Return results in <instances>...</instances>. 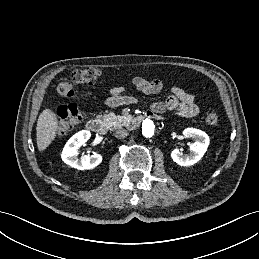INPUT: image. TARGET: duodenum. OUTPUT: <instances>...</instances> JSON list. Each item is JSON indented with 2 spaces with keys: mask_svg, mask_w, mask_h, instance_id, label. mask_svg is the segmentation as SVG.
Segmentation results:
<instances>
[{
  "mask_svg": "<svg viewBox=\"0 0 259 259\" xmlns=\"http://www.w3.org/2000/svg\"><path fill=\"white\" fill-rule=\"evenodd\" d=\"M147 115L146 114H141L138 116H135L130 124L131 129H134L138 127L145 119ZM87 128L99 135H105L107 132V127L105 122L102 119L99 118H91L87 122Z\"/></svg>",
  "mask_w": 259,
  "mask_h": 259,
  "instance_id": "obj_1",
  "label": "duodenum"
}]
</instances>
